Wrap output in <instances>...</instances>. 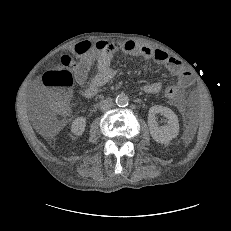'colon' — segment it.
I'll return each instance as SVG.
<instances>
[{"label": "colon", "instance_id": "obj_1", "mask_svg": "<svg viewBox=\"0 0 231 231\" xmlns=\"http://www.w3.org/2000/svg\"><path fill=\"white\" fill-rule=\"evenodd\" d=\"M42 82L45 86L49 111L57 116L66 113L73 85L72 74L65 69L50 70L43 75ZM164 95L169 100H175L179 96V90L174 84H167L164 87Z\"/></svg>", "mask_w": 231, "mask_h": 231}]
</instances>
